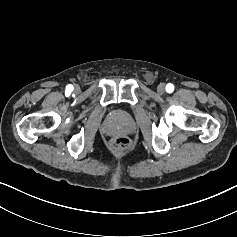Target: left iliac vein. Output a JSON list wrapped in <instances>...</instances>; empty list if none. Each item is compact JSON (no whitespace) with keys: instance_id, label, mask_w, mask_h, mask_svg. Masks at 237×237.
Listing matches in <instances>:
<instances>
[{"instance_id":"left-iliac-vein-1","label":"left iliac vein","mask_w":237,"mask_h":237,"mask_svg":"<svg viewBox=\"0 0 237 237\" xmlns=\"http://www.w3.org/2000/svg\"><path fill=\"white\" fill-rule=\"evenodd\" d=\"M157 91L159 94H163L165 92V85L163 83L157 86Z\"/></svg>"}]
</instances>
